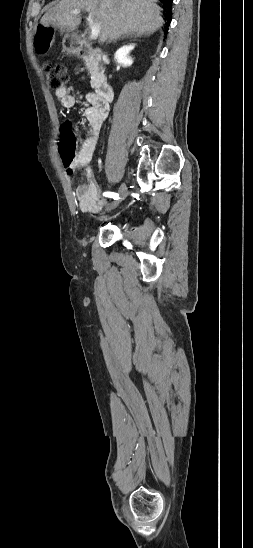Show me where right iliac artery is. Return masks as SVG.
I'll return each mask as SVG.
<instances>
[{
	"label": "right iliac artery",
	"mask_w": 253,
	"mask_h": 548,
	"mask_svg": "<svg viewBox=\"0 0 253 548\" xmlns=\"http://www.w3.org/2000/svg\"><path fill=\"white\" fill-rule=\"evenodd\" d=\"M103 195L109 198H113L114 200L119 199V194L114 192H104Z\"/></svg>",
	"instance_id": "obj_1"
}]
</instances>
